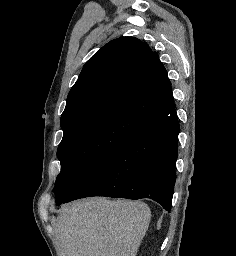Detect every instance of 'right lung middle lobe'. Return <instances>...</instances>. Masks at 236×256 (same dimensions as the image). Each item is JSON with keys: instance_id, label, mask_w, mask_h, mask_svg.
<instances>
[{"instance_id": "obj_1", "label": "right lung middle lobe", "mask_w": 236, "mask_h": 256, "mask_svg": "<svg viewBox=\"0 0 236 256\" xmlns=\"http://www.w3.org/2000/svg\"><path fill=\"white\" fill-rule=\"evenodd\" d=\"M145 124L130 113L117 111L64 129L57 150L61 172L55 183L56 202L66 199L101 161Z\"/></svg>"}]
</instances>
